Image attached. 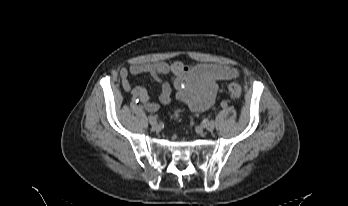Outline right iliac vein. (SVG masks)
I'll list each match as a JSON object with an SVG mask.
<instances>
[{
  "instance_id": "right-iliac-vein-1",
  "label": "right iliac vein",
  "mask_w": 348,
  "mask_h": 206,
  "mask_svg": "<svg viewBox=\"0 0 348 206\" xmlns=\"http://www.w3.org/2000/svg\"><path fill=\"white\" fill-rule=\"evenodd\" d=\"M148 120H149V123H150V125L152 126V127H157V125H158V122H157V120H156V118L154 117V116H149L148 117Z\"/></svg>"
}]
</instances>
